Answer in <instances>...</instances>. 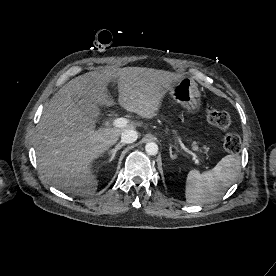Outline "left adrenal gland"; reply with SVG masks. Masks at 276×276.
Here are the masks:
<instances>
[{
  "mask_svg": "<svg viewBox=\"0 0 276 276\" xmlns=\"http://www.w3.org/2000/svg\"><path fill=\"white\" fill-rule=\"evenodd\" d=\"M169 153H170L171 159H175L176 158V155H173V153H172V147L171 146L169 148Z\"/></svg>",
  "mask_w": 276,
  "mask_h": 276,
  "instance_id": "a2214340",
  "label": "left adrenal gland"
}]
</instances>
